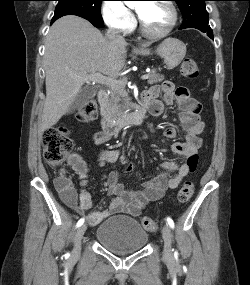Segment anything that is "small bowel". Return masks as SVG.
<instances>
[{
    "instance_id": "c3829d8e",
    "label": "small bowel",
    "mask_w": 250,
    "mask_h": 285,
    "mask_svg": "<svg viewBox=\"0 0 250 285\" xmlns=\"http://www.w3.org/2000/svg\"><path fill=\"white\" fill-rule=\"evenodd\" d=\"M175 101L180 105L179 120L185 131V141L174 142L171 145V151L181 156L183 161L180 164L174 160L162 162L160 164L161 173L154 178L145 180L141 189H124L119 182L118 172H110L106 181L108 192L113 198L107 210L94 211L86 216L91 226L99 224L104 218L116 213H125L133 217L139 216L146 204L160 199L165 191L177 188L189 173L187 160L202 145L200 135L204 129V123L200 118V104L190 96L187 88L175 89L171 82L155 85L143 94L144 105L154 116L161 115L164 107L172 105ZM176 133L177 130L173 126L164 130V135L168 138H174ZM111 138L112 135L98 131L93 135V142L96 146L101 147ZM119 156L120 152L117 149H101L97 154V160L99 164L104 165L117 161ZM69 164L80 178L81 190L79 194L71 182L66 179L57 180L56 189L68 207L77 214L84 215L93 206L91 195L86 189L87 164L77 154L70 156ZM125 170L132 172L134 165L128 164Z\"/></svg>"
}]
</instances>
